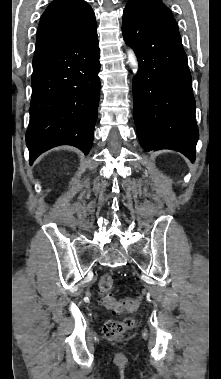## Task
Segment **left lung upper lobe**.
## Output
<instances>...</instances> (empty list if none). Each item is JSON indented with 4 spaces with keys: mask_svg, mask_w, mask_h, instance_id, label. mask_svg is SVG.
Masks as SVG:
<instances>
[{
    "mask_svg": "<svg viewBox=\"0 0 221 379\" xmlns=\"http://www.w3.org/2000/svg\"><path fill=\"white\" fill-rule=\"evenodd\" d=\"M135 2L150 14L165 20L174 21L171 11L160 0H129L128 3Z\"/></svg>",
    "mask_w": 221,
    "mask_h": 379,
    "instance_id": "left-lung-upper-lobe-1",
    "label": "left lung upper lobe"
}]
</instances>
